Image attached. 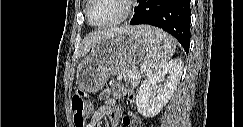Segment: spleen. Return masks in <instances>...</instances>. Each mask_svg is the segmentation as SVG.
I'll list each match as a JSON object with an SVG mask.
<instances>
[{"label":"spleen","mask_w":243,"mask_h":127,"mask_svg":"<svg viewBox=\"0 0 243 127\" xmlns=\"http://www.w3.org/2000/svg\"><path fill=\"white\" fill-rule=\"evenodd\" d=\"M136 34L146 46L141 72L149 76L168 63L175 52L176 43L166 32L151 26H141Z\"/></svg>","instance_id":"1"}]
</instances>
